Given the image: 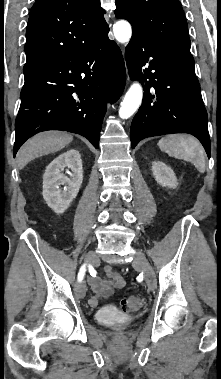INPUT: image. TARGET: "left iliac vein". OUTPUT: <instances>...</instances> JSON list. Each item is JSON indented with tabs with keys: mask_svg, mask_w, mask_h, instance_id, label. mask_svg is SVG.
<instances>
[{
	"mask_svg": "<svg viewBox=\"0 0 221 379\" xmlns=\"http://www.w3.org/2000/svg\"><path fill=\"white\" fill-rule=\"evenodd\" d=\"M132 265L144 273V279L148 288L154 290L156 288L155 272L141 250H136Z\"/></svg>",
	"mask_w": 221,
	"mask_h": 379,
	"instance_id": "obj_1",
	"label": "left iliac vein"
}]
</instances>
